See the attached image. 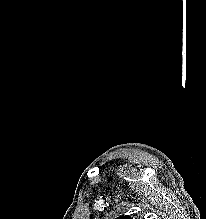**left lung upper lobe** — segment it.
Instances as JSON below:
<instances>
[{
  "label": "left lung upper lobe",
  "mask_w": 206,
  "mask_h": 219,
  "mask_svg": "<svg viewBox=\"0 0 206 219\" xmlns=\"http://www.w3.org/2000/svg\"><path fill=\"white\" fill-rule=\"evenodd\" d=\"M116 219H132V218L129 217V216H124V215H122V216H120V217H118V218H116Z\"/></svg>",
  "instance_id": "left-lung-upper-lobe-1"
}]
</instances>
